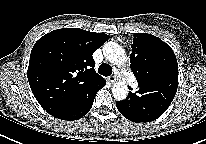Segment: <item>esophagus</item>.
I'll return each mask as SVG.
<instances>
[{
    "mask_svg": "<svg viewBox=\"0 0 206 144\" xmlns=\"http://www.w3.org/2000/svg\"><path fill=\"white\" fill-rule=\"evenodd\" d=\"M109 81H110L111 83H115V82L117 81V76H116V75L110 76V77H109Z\"/></svg>",
    "mask_w": 206,
    "mask_h": 144,
    "instance_id": "esophagus-1",
    "label": "esophagus"
}]
</instances>
